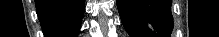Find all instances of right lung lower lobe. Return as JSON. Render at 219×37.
Returning a JSON list of instances; mask_svg holds the SVG:
<instances>
[{
	"label": "right lung lower lobe",
	"mask_w": 219,
	"mask_h": 37,
	"mask_svg": "<svg viewBox=\"0 0 219 37\" xmlns=\"http://www.w3.org/2000/svg\"><path fill=\"white\" fill-rule=\"evenodd\" d=\"M43 32L48 37H75L84 12L83 0H36Z\"/></svg>",
	"instance_id": "1"
}]
</instances>
